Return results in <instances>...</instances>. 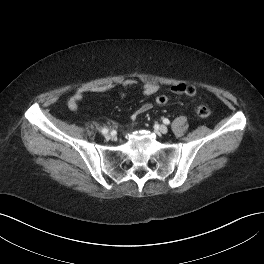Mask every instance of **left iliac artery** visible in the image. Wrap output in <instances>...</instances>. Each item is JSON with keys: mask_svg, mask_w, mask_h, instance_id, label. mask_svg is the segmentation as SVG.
I'll list each match as a JSON object with an SVG mask.
<instances>
[{"mask_svg": "<svg viewBox=\"0 0 264 264\" xmlns=\"http://www.w3.org/2000/svg\"><path fill=\"white\" fill-rule=\"evenodd\" d=\"M163 122H164L165 124H167V125L170 124V121H169L167 118H164V119H163Z\"/></svg>", "mask_w": 264, "mask_h": 264, "instance_id": "obj_1", "label": "left iliac artery"}]
</instances>
